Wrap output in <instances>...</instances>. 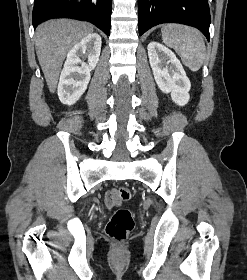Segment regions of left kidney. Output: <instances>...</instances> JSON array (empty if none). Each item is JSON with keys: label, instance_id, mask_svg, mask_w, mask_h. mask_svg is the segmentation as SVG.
I'll return each instance as SVG.
<instances>
[{"label": "left kidney", "instance_id": "left-kidney-1", "mask_svg": "<svg viewBox=\"0 0 247 280\" xmlns=\"http://www.w3.org/2000/svg\"><path fill=\"white\" fill-rule=\"evenodd\" d=\"M150 66L159 89L168 94L179 106H185L190 99L191 83L177 59L167 47L157 42H150L147 47Z\"/></svg>", "mask_w": 247, "mask_h": 280}]
</instances>
